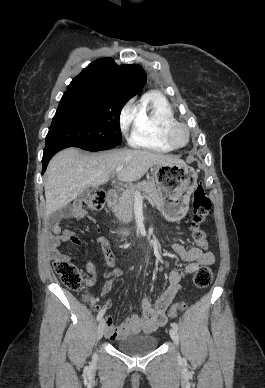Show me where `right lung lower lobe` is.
Segmentation results:
<instances>
[{"label": "right lung lower lobe", "mask_w": 265, "mask_h": 388, "mask_svg": "<svg viewBox=\"0 0 265 388\" xmlns=\"http://www.w3.org/2000/svg\"><path fill=\"white\" fill-rule=\"evenodd\" d=\"M66 147H70V146L57 145V146H54V147H51L49 149L44 150L43 158H42V164H43L42 174L46 171V167H47L50 159L54 156V154L57 153L58 151L64 149V148H66Z\"/></svg>", "instance_id": "1"}]
</instances>
